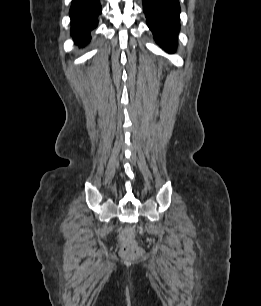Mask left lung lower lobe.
Returning a JSON list of instances; mask_svg holds the SVG:
<instances>
[{"mask_svg":"<svg viewBox=\"0 0 261 306\" xmlns=\"http://www.w3.org/2000/svg\"><path fill=\"white\" fill-rule=\"evenodd\" d=\"M147 25L155 40L167 52L173 53L180 28L179 0H142Z\"/></svg>","mask_w":261,"mask_h":306,"instance_id":"0a47b994","label":"left lung lower lobe"}]
</instances>
